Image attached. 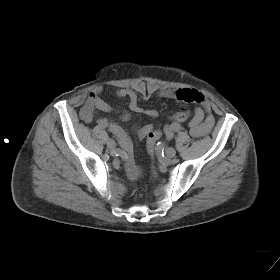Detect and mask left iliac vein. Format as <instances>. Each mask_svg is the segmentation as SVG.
I'll list each match as a JSON object with an SVG mask.
<instances>
[{
    "label": "left iliac vein",
    "instance_id": "1",
    "mask_svg": "<svg viewBox=\"0 0 280 280\" xmlns=\"http://www.w3.org/2000/svg\"><path fill=\"white\" fill-rule=\"evenodd\" d=\"M176 154V151L174 148L172 147H169L165 150V155L168 157V158H173Z\"/></svg>",
    "mask_w": 280,
    "mask_h": 280
}]
</instances>
